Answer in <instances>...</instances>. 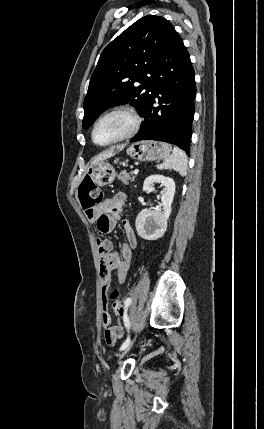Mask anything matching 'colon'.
I'll list each match as a JSON object with an SVG mask.
<instances>
[{
  "label": "colon",
  "mask_w": 264,
  "mask_h": 429,
  "mask_svg": "<svg viewBox=\"0 0 264 429\" xmlns=\"http://www.w3.org/2000/svg\"><path fill=\"white\" fill-rule=\"evenodd\" d=\"M79 200L84 211L92 213L94 208L103 202L104 192L91 179L87 178L79 186ZM111 299L114 312L119 316H123L126 308L118 290L112 292Z\"/></svg>",
  "instance_id": "obj_1"
}]
</instances>
